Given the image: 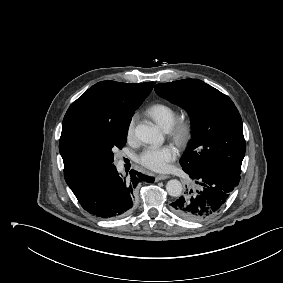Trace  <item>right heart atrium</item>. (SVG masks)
<instances>
[{"instance_id":"obj_1","label":"right heart atrium","mask_w":283,"mask_h":283,"mask_svg":"<svg viewBox=\"0 0 283 283\" xmlns=\"http://www.w3.org/2000/svg\"><path fill=\"white\" fill-rule=\"evenodd\" d=\"M134 127H135V118L133 117L129 121L126 129V137L128 140H132L134 137Z\"/></svg>"}]
</instances>
